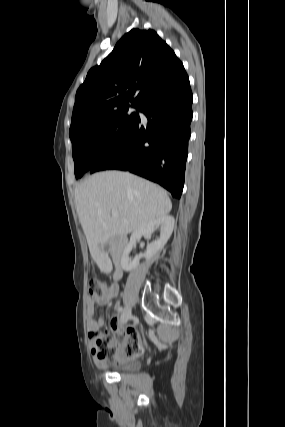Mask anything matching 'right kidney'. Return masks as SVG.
Listing matches in <instances>:
<instances>
[{
    "mask_svg": "<svg viewBox=\"0 0 285 427\" xmlns=\"http://www.w3.org/2000/svg\"><path fill=\"white\" fill-rule=\"evenodd\" d=\"M156 227H160L161 229L160 237L157 240H155L153 243L147 245V250L144 254H139L135 256L134 259H131L129 257V254L133 246L136 244V242L142 236L150 235ZM173 228H174V218L170 215H165L156 220L149 222L144 227L134 231L131 234L130 241L126 245L121 257V266L123 270L128 272L135 269L138 266L139 261L142 257L146 258L149 261L152 260L155 257V255L167 243L168 239L170 238L173 232Z\"/></svg>",
    "mask_w": 285,
    "mask_h": 427,
    "instance_id": "obj_1",
    "label": "right kidney"
}]
</instances>
